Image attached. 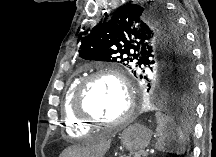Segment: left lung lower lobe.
Masks as SVG:
<instances>
[{"label": "left lung lower lobe", "instance_id": "obj_1", "mask_svg": "<svg viewBox=\"0 0 216 157\" xmlns=\"http://www.w3.org/2000/svg\"><path fill=\"white\" fill-rule=\"evenodd\" d=\"M196 92L197 85L195 88L188 85L179 92L172 91L171 89H168L166 92V94L174 100V104L177 107L175 113L178 116V121L176 123L184 131V133H188L190 130V123L193 114L191 102L195 100Z\"/></svg>", "mask_w": 216, "mask_h": 157}]
</instances>
